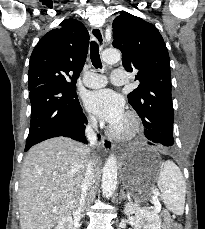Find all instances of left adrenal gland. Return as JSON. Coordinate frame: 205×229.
Instances as JSON below:
<instances>
[{
    "label": "left adrenal gland",
    "mask_w": 205,
    "mask_h": 229,
    "mask_svg": "<svg viewBox=\"0 0 205 229\" xmlns=\"http://www.w3.org/2000/svg\"><path fill=\"white\" fill-rule=\"evenodd\" d=\"M126 195H125V192H124V188L120 190V194H119V198L122 199V198H125Z\"/></svg>",
    "instance_id": "left-adrenal-gland-1"
}]
</instances>
